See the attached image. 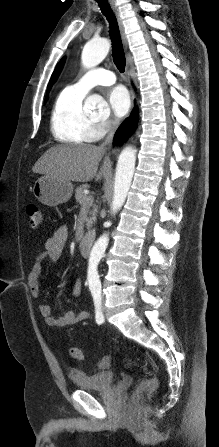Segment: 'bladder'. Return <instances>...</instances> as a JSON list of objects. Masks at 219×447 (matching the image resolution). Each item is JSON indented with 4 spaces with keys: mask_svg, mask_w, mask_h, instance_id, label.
Segmentation results:
<instances>
[{
    "mask_svg": "<svg viewBox=\"0 0 219 447\" xmlns=\"http://www.w3.org/2000/svg\"><path fill=\"white\" fill-rule=\"evenodd\" d=\"M68 376L79 389L92 392L110 389L115 380V374L112 371L88 373L83 370L70 369Z\"/></svg>",
    "mask_w": 219,
    "mask_h": 447,
    "instance_id": "obj_1",
    "label": "bladder"
}]
</instances>
